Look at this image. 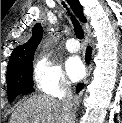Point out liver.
<instances>
[{"mask_svg": "<svg viewBox=\"0 0 122 123\" xmlns=\"http://www.w3.org/2000/svg\"><path fill=\"white\" fill-rule=\"evenodd\" d=\"M10 123H74V115L65 116L60 100L40 94L21 102Z\"/></svg>", "mask_w": 122, "mask_h": 123, "instance_id": "liver-1", "label": "liver"}]
</instances>
